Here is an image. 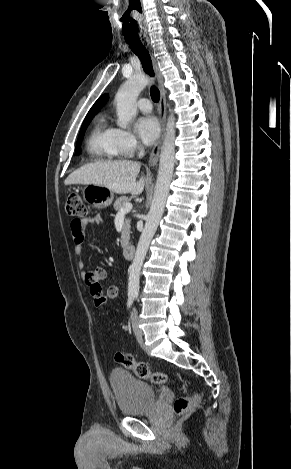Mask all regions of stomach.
Returning <instances> with one entry per match:
<instances>
[{
	"label": "stomach",
	"instance_id": "obj_1",
	"mask_svg": "<svg viewBox=\"0 0 291 469\" xmlns=\"http://www.w3.org/2000/svg\"><path fill=\"white\" fill-rule=\"evenodd\" d=\"M83 198L90 206L102 209L112 203L114 193L104 186L89 184L83 189Z\"/></svg>",
	"mask_w": 291,
	"mask_h": 469
}]
</instances>
